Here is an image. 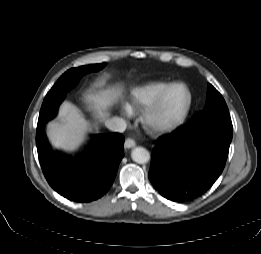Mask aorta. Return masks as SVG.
Segmentation results:
<instances>
[{"label":"aorta","mask_w":261,"mask_h":254,"mask_svg":"<svg viewBox=\"0 0 261 254\" xmlns=\"http://www.w3.org/2000/svg\"><path fill=\"white\" fill-rule=\"evenodd\" d=\"M132 160L138 164H145L150 160V153L143 147H136L131 152Z\"/></svg>","instance_id":"1"}]
</instances>
